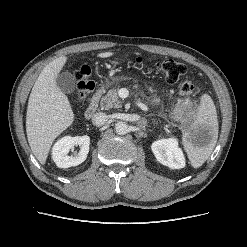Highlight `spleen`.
Instances as JSON below:
<instances>
[{"label": "spleen", "mask_w": 247, "mask_h": 247, "mask_svg": "<svg viewBox=\"0 0 247 247\" xmlns=\"http://www.w3.org/2000/svg\"><path fill=\"white\" fill-rule=\"evenodd\" d=\"M194 128L202 127L210 131V138L202 145H196L191 140V133L185 132L183 144L191 165L199 168L211 155L218 138V119L216 107L212 98L204 94L193 124Z\"/></svg>", "instance_id": "3e777b00"}]
</instances>
